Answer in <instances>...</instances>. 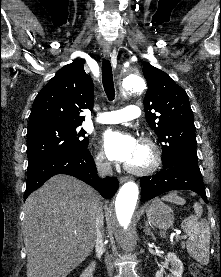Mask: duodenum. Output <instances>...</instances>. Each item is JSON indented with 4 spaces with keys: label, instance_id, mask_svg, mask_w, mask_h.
Here are the masks:
<instances>
[{
    "label": "duodenum",
    "instance_id": "1",
    "mask_svg": "<svg viewBox=\"0 0 221 277\" xmlns=\"http://www.w3.org/2000/svg\"><path fill=\"white\" fill-rule=\"evenodd\" d=\"M95 267H96V262L95 261L90 262L89 265L83 271L81 277H93Z\"/></svg>",
    "mask_w": 221,
    "mask_h": 277
}]
</instances>
